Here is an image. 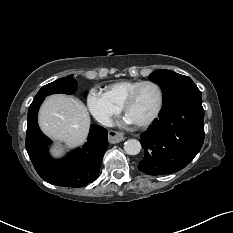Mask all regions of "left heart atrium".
Segmentation results:
<instances>
[{
    "label": "left heart atrium",
    "instance_id": "39dd6f15",
    "mask_svg": "<svg viewBox=\"0 0 233 233\" xmlns=\"http://www.w3.org/2000/svg\"><path fill=\"white\" fill-rule=\"evenodd\" d=\"M124 121H125V123H127V124H131V123L134 122L129 116H126L125 119H124Z\"/></svg>",
    "mask_w": 233,
    "mask_h": 233
}]
</instances>
